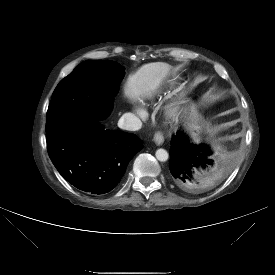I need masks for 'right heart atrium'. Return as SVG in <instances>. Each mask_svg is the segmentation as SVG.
Here are the masks:
<instances>
[{"label":"right heart atrium","mask_w":275,"mask_h":275,"mask_svg":"<svg viewBox=\"0 0 275 275\" xmlns=\"http://www.w3.org/2000/svg\"><path fill=\"white\" fill-rule=\"evenodd\" d=\"M134 111L139 117H143L145 115V112L140 108H134Z\"/></svg>","instance_id":"right-heart-atrium-1"}]
</instances>
